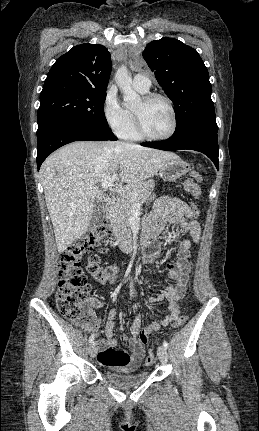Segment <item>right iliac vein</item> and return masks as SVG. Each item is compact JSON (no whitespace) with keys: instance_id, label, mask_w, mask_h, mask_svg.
Returning a JSON list of instances; mask_svg holds the SVG:
<instances>
[{"instance_id":"1","label":"right iliac vein","mask_w":259,"mask_h":431,"mask_svg":"<svg viewBox=\"0 0 259 431\" xmlns=\"http://www.w3.org/2000/svg\"><path fill=\"white\" fill-rule=\"evenodd\" d=\"M89 354L92 358H94L97 354V345L95 342L91 343L89 347Z\"/></svg>"}]
</instances>
